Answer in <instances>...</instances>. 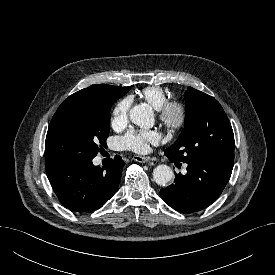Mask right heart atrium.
<instances>
[{
	"label": "right heart atrium",
	"instance_id": "obj_1",
	"mask_svg": "<svg viewBox=\"0 0 275 275\" xmlns=\"http://www.w3.org/2000/svg\"><path fill=\"white\" fill-rule=\"evenodd\" d=\"M130 105V98H124L115 105L111 117V125L113 128L120 129L127 124Z\"/></svg>",
	"mask_w": 275,
	"mask_h": 275
}]
</instances>
